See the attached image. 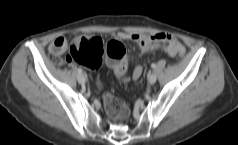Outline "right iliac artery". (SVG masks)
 Returning <instances> with one entry per match:
<instances>
[{"mask_svg": "<svg viewBox=\"0 0 238 145\" xmlns=\"http://www.w3.org/2000/svg\"><path fill=\"white\" fill-rule=\"evenodd\" d=\"M78 73H79V74L82 73V69H81V68L78 69Z\"/></svg>", "mask_w": 238, "mask_h": 145, "instance_id": "1", "label": "right iliac artery"}]
</instances>
